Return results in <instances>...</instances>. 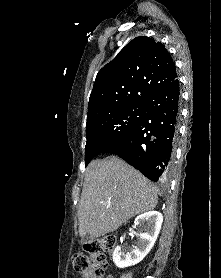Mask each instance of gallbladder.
I'll return each mask as SVG.
<instances>
[{
	"label": "gallbladder",
	"instance_id": "gallbladder-1",
	"mask_svg": "<svg viewBox=\"0 0 221 278\" xmlns=\"http://www.w3.org/2000/svg\"><path fill=\"white\" fill-rule=\"evenodd\" d=\"M94 240V238L90 234H86L85 236L82 237L81 243L82 244H87L90 243Z\"/></svg>",
	"mask_w": 221,
	"mask_h": 278
}]
</instances>
